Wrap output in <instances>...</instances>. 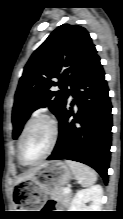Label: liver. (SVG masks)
Segmentation results:
<instances>
[{
  "mask_svg": "<svg viewBox=\"0 0 123 219\" xmlns=\"http://www.w3.org/2000/svg\"><path fill=\"white\" fill-rule=\"evenodd\" d=\"M39 167L31 169L26 174H24L23 176L19 177L17 179V181H16V184H19V183H21V182H23L25 180L30 179L36 173V171L39 169Z\"/></svg>",
  "mask_w": 123,
  "mask_h": 219,
  "instance_id": "obj_1",
  "label": "liver"
}]
</instances>
